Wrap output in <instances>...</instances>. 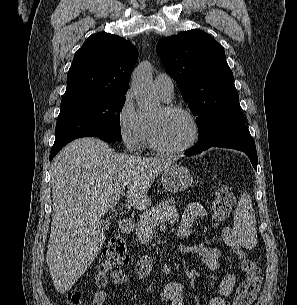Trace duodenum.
<instances>
[{
    "label": "duodenum",
    "instance_id": "1",
    "mask_svg": "<svg viewBox=\"0 0 297 305\" xmlns=\"http://www.w3.org/2000/svg\"><path fill=\"white\" fill-rule=\"evenodd\" d=\"M118 226L123 233L128 234L133 230L134 222L130 217H123L119 220Z\"/></svg>",
    "mask_w": 297,
    "mask_h": 305
}]
</instances>
